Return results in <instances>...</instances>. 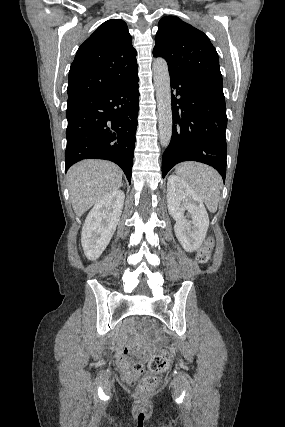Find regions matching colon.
<instances>
[{
	"instance_id": "5ec220e1",
	"label": "colon",
	"mask_w": 285,
	"mask_h": 427,
	"mask_svg": "<svg viewBox=\"0 0 285 427\" xmlns=\"http://www.w3.org/2000/svg\"><path fill=\"white\" fill-rule=\"evenodd\" d=\"M214 247L213 238L209 237L205 240L203 245L200 247L197 260L198 262L205 264L208 263L211 259V252ZM125 355H134L135 351L131 347H125L123 350ZM170 365V355L166 351H161L158 354L154 355L148 364L149 374L145 375L141 381H136L131 379L129 384L133 387L138 393L146 396L152 394L158 387V379L156 374H159L165 371ZM135 369L137 371L142 370V364L140 362L134 363Z\"/></svg>"
}]
</instances>
